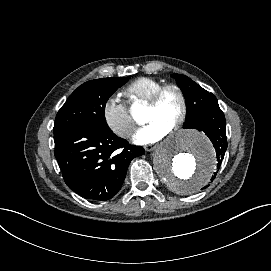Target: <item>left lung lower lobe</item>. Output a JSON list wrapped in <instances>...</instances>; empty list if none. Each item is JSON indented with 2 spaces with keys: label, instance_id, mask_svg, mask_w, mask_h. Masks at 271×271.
Segmentation results:
<instances>
[{
  "label": "left lung lower lobe",
  "instance_id": "obj_1",
  "mask_svg": "<svg viewBox=\"0 0 271 271\" xmlns=\"http://www.w3.org/2000/svg\"><path fill=\"white\" fill-rule=\"evenodd\" d=\"M197 130L203 131L211 140L216 150L217 171L219 170L222 160L227 149L226 138V120L224 113L220 108L212 110L196 127ZM217 171L211 178H215ZM208 186V185H207ZM206 186V187H207Z\"/></svg>",
  "mask_w": 271,
  "mask_h": 271
}]
</instances>
